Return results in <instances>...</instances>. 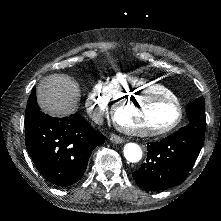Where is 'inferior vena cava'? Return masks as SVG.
Wrapping results in <instances>:
<instances>
[{"mask_svg": "<svg viewBox=\"0 0 221 221\" xmlns=\"http://www.w3.org/2000/svg\"><path fill=\"white\" fill-rule=\"evenodd\" d=\"M93 121L96 124H102L103 121H104V114H103V112L102 111H97L96 116L93 117Z\"/></svg>", "mask_w": 221, "mask_h": 221, "instance_id": "1", "label": "inferior vena cava"}]
</instances>
